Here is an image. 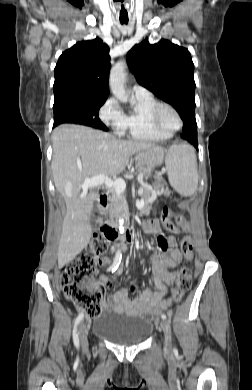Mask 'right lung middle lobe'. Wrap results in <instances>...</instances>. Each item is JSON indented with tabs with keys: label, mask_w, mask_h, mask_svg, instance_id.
<instances>
[{
	"label": "right lung middle lobe",
	"mask_w": 252,
	"mask_h": 390,
	"mask_svg": "<svg viewBox=\"0 0 252 390\" xmlns=\"http://www.w3.org/2000/svg\"><path fill=\"white\" fill-rule=\"evenodd\" d=\"M105 100L67 99L54 102V125L62 123L82 124L97 129L107 130L98 116L100 107Z\"/></svg>",
	"instance_id": "right-lung-middle-lobe-1"
}]
</instances>
